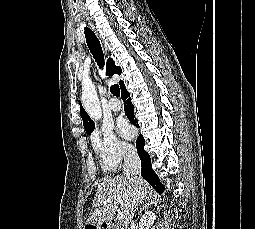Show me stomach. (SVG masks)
<instances>
[{"label":"stomach","mask_w":255,"mask_h":229,"mask_svg":"<svg viewBox=\"0 0 255 229\" xmlns=\"http://www.w3.org/2000/svg\"><path fill=\"white\" fill-rule=\"evenodd\" d=\"M86 226H92V227H89L91 229H102L101 225H96V224H91V223H87Z\"/></svg>","instance_id":"0dacf381"}]
</instances>
